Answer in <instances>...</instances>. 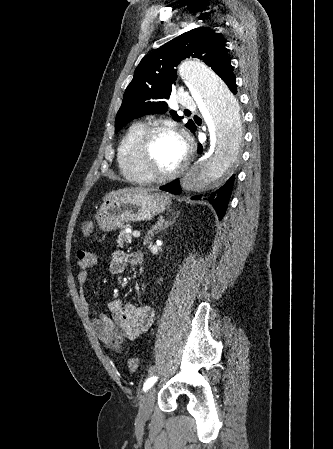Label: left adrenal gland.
<instances>
[{
  "mask_svg": "<svg viewBox=\"0 0 333 449\" xmlns=\"http://www.w3.org/2000/svg\"><path fill=\"white\" fill-rule=\"evenodd\" d=\"M178 215H179V211L174 212L172 220L171 219L165 220L163 217H160L157 224L151 230L148 231V233L145 237V240H144V244H147L149 242V240L151 239V237L154 236V234H156L157 232H160L161 230H164L169 225H171L175 221V218L178 217Z\"/></svg>",
  "mask_w": 333,
  "mask_h": 449,
  "instance_id": "1",
  "label": "left adrenal gland"
}]
</instances>
